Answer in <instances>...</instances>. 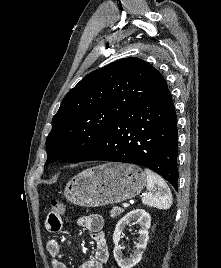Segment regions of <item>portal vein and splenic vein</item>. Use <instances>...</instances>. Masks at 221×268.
<instances>
[{
  "label": "portal vein and splenic vein",
  "instance_id": "obj_1",
  "mask_svg": "<svg viewBox=\"0 0 221 268\" xmlns=\"http://www.w3.org/2000/svg\"><path fill=\"white\" fill-rule=\"evenodd\" d=\"M123 207H124V208L129 207V203H123Z\"/></svg>",
  "mask_w": 221,
  "mask_h": 268
}]
</instances>
